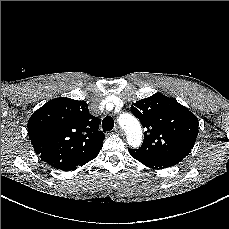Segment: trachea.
<instances>
[{"mask_svg":"<svg viewBox=\"0 0 229 229\" xmlns=\"http://www.w3.org/2000/svg\"><path fill=\"white\" fill-rule=\"evenodd\" d=\"M114 127V121L112 117L106 116L102 121V128L104 131H111Z\"/></svg>","mask_w":229,"mask_h":229,"instance_id":"1","label":"trachea"}]
</instances>
